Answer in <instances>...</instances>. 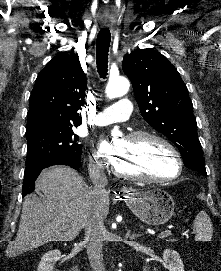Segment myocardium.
<instances>
[{
  "instance_id": "1",
  "label": "myocardium",
  "mask_w": 221,
  "mask_h": 271,
  "mask_svg": "<svg viewBox=\"0 0 221 271\" xmlns=\"http://www.w3.org/2000/svg\"><path fill=\"white\" fill-rule=\"evenodd\" d=\"M169 137L153 131L148 130L142 133H130L129 137L126 138L127 142H133L132 145H139L141 142H155L156 145H161L162 150H169V155L172 159H170V164H172L174 173L167 176H154L150 177V175H143V173H127L125 174L123 170H119V163H116L114 158L108 159V171H113L115 176H119L120 179H132V178H147V183H168V178H179L184 170H182V165H178V150H174L172 142H169ZM138 168V167H136Z\"/></svg>"
}]
</instances>
